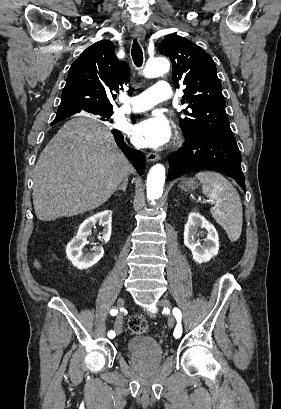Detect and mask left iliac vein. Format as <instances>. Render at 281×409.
Returning a JSON list of instances; mask_svg holds the SVG:
<instances>
[{
	"label": "left iliac vein",
	"mask_w": 281,
	"mask_h": 409,
	"mask_svg": "<svg viewBox=\"0 0 281 409\" xmlns=\"http://www.w3.org/2000/svg\"><path fill=\"white\" fill-rule=\"evenodd\" d=\"M159 305L164 308L165 312L168 314V326L170 328L174 325V316L170 313L171 303L167 299H161L159 301Z\"/></svg>",
	"instance_id": "obj_1"
}]
</instances>
